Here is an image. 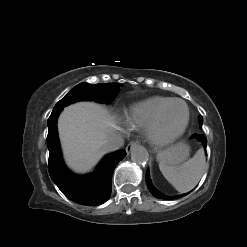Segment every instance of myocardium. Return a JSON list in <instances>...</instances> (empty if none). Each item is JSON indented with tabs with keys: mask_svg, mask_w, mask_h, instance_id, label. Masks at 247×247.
Listing matches in <instances>:
<instances>
[{
	"mask_svg": "<svg viewBox=\"0 0 247 247\" xmlns=\"http://www.w3.org/2000/svg\"><path fill=\"white\" fill-rule=\"evenodd\" d=\"M174 103H182L185 106L186 117L183 124L178 130L172 133H165L161 130L160 127L161 120L165 111ZM189 120H190V110L187 103L182 99H178V98L171 99L169 102H167L164 106H162L159 109V111L156 113L155 117L151 121L150 125L148 126L147 128L148 139L153 145L158 147L169 145L174 141H176L177 139H179L184 134L185 130L188 127Z\"/></svg>",
	"mask_w": 247,
	"mask_h": 247,
	"instance_id": "f54148a6",
	"label": "myocardium"
}]
</instances>
